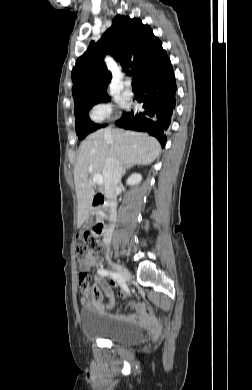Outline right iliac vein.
<instances>
[{"mask_svg": "<svg viewBox=\"0 0 252 390\" xmlns=\"http://www.w3.org/2000/svg\"><path fill=\"white\" fill-rule=\"evenodd\" d=\"M109 264L112 266V268H113L114 270H116L118 273H121L122 276L125 277V280H126L127 282L131 281L132 276H131V274L129 273V271H128L124 266H122V265L119 264V263H115V262H113V261H111V260H109Z\"/></svg>", "mask_w": 252, "mask_h": 390, "instance_id": "63e3f726", "label": "right iliac vein"}]
</instances>
